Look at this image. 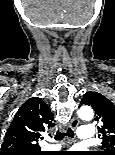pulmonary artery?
Here are the masks:
<instances>
[{"label": "pulmonary artery", "mask_w": 115, "mask_h": 155, "mask_svg": "<svg viewBox=\"0 0 115 155\" xmlns=\"http://www.w3.org/2000/svg\"><path fill=\"white\" fill-rule=\"evenodd\" d=\"M77 136L84 142H88L94 139L95 130L90 126H81L77 131ZM58 148V147H55Z\"/></svg>", "instance_id": "obj_1"}]
</instances>
